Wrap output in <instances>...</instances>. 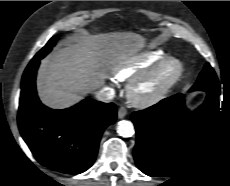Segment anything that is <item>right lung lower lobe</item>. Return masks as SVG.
I'll list each match as a JSON object with an SVG mask.
<instances>
[{
  "mask_svg": "<svg viewBox=\"0 0 230 186\" xmlns=\"http://www.w3.org/2000/svg\"><path fill=\"white\" fill-rule=\"evenodd\" d=\"M39 63L31 61L22 77L20 133L43 166L66 174L82 173L93 165L103 131L115 122L116 106L90 98L64 110L44 106L35 86Z\"/></svg>",
  "mask_w": 230,
  "mask_h": 186,
  "instance_id": "right-lung-lower-lobe-1",
  "label": "right lung lower lobe"
}]
</instances>
